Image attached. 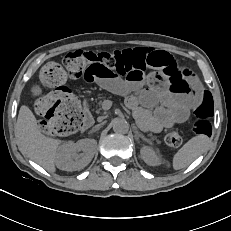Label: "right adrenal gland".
I'll use <instances>...</instances> for the list:
<instances>
[{
  "instance_id": "2a0ac1e0",
  "label": "right adrenal gland",
  "mask_w": 231,
  "mask_h": 231,
  "mask_svg": "<svg viewBox=\"0 0 231 231\" xmlns=\"http://www.w3.org/2000/svg\"><path fill=\"white\" fill-rule=\"evenodd\" d=\"M100 129V127H98V128H93L89 133H93V132H95V131H97V130H99Z\"/></svg>"
}]
</instances>
